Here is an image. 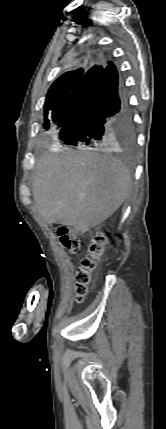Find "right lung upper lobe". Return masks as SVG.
Returning <instances> with one entry per match:
<instances>
[{
  "instance_id": "obj_1",
  "label": "right lung upper lobe",
  "mask_w": 166,
  "mask_h": 429,
  "mask_svg": "<svg viewBox=\"0 0 166 429\" xmlns=\"http://www.w3.org/2000/svg\"><path fill=\"white\" fill-rule=\"evenodd\" d=\"M85 72H86V69H83V68H78L76 70L66 72L63 75H61L52 85L57 84L60 81L65 80V79L72 77V76H75V75H84Z\"/></svg>"
}]
</instances>
